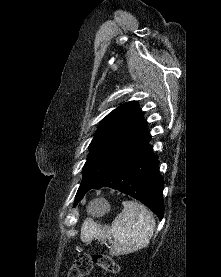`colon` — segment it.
<instances>
[{
	"label": "colon",
	"instance_id": "5ec220e1",
	"mask_svg": "<svg viewBox=\"0 0 221 277\" xmlns=\"http://www.w3.org/2000/svg\"><path fill=\"white\" fill-rule=\"evenodd\" d=\"M94 266L111 272L117 273L119 266L117 263L109 256L104 254H81L76 256L71 264L68 272L69 277H83L88 275Z\"/></svg>",
	"mask_w": 221,
	"mask_h": 277
}]
</instances>
